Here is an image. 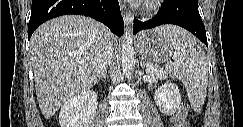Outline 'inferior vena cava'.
Segmentation results:
<instances>
[{
  "label": "inferior vena cava",
  "instance_id": "inferior-vena-cava-1",
  "mask_svg": "<svg viewBox=\"0 0 243 127\" xmlns=\"http://www.w3.org/2000/svg\"><path fill=\"white\" fill-rule=\"evenodd\" d=\"M103 51H104V59H103L102 70L107 69V65L109 64L112 58V53H113L112 43L111 42L107 43Z\"/></svg>",
  "mask_w": 243,
  "mask_h": 127
}]
</instances>
